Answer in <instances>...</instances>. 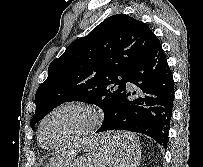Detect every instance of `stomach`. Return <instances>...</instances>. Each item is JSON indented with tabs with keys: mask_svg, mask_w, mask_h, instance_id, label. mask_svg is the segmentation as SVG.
<instances>
[{
	"mask_svg": "<svg viewBox=\"0 0 203 167\" xmlns=\"http://www.w3.org/2000/svg\"><path fill=\"white\" fill-rule=\"evenodd\" d=\"M101 137L95 138L94 142ZM133 141L130 143L132 145ZM103 147H93L91 153L73 160L68 167H107L111 164L109 156L102 151ZM133 153L130 151V155Z\"/></svg>",
	"mask_w": 203,
	"mask_h": 167,
	"instance_id": "1",
	"label": "stomach"
}]
</instances>
